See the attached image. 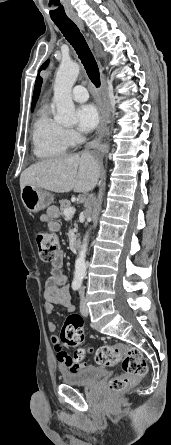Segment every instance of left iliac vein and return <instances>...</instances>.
I'll return each mask as SVG.
<instances>
[{"instance_id":"left-iliac-vein-1","label":"left iliac vein","mask_w":171,"mask_h":445,"mask_svg":"<svg viewBox=\"0 0 171 445\" xmlns=\"http://www.w3.org/2000/svg\"><path fill=\"white\" fill-rule=\"evenodd\" d=\"M80 312L83 316H88L89 310L86 299L83 294H80Z\"/></svg>"}]
</instances>
